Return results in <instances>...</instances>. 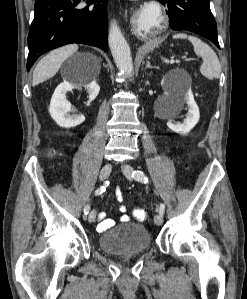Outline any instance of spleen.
<instances>
[{"instance_id": "3e777b00", "label": "spleen", "mask_w": 247, "mask_h": 299, "mask_svg": "<svg viewBox=\"0 0 247 299\" xmlns=\"http://www.w3.org/2000/svg\"><path fill=\"white\" fill-rule=\"evenodd\" d=\"M173 38L188 39L193 47L196 55L201 56L203 63L200 67L201 74L207 79L219 78L221 73V65L216 53L213 49L201 41L199 38L187 35L185 33H178L173 36Z\"/></svg>"}]
</instances>
